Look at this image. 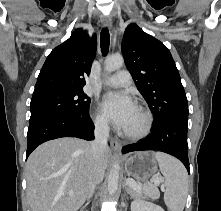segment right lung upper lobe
<instances>
[{
    "label": "right lung upper lobe",
    "mask_w": 221,
    "mask_h": 211,
    "mask_svg": "<svg viewBox=\"0 0 221 211\" xmlns=\"http://www.w3.org/2000/svg\"><path fill=\"white\" fill-rule=\"evenodd\" d=\"M96 52V36L92 47L85 31L75 30L71 37L48 55L38 76L34 91L45 89H82Z\"/></svg>",
    "instance_id": "1"
}]
</instances>
